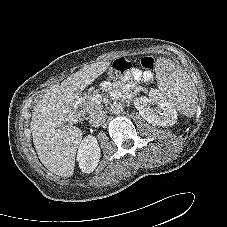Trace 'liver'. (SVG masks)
Segmentation results:
<instances>
[{
  "instance_id": "1",
  "label": "liver",
  "mask_w": 227,
  "mask_h": 227,
  "mask_svg": "<svg viewBox=\"0 0 227 227\" xmlns=\"http://www.w3.org/2000/svg\"><path fill=\"white\" fill-rule=\"evenodd\" d=\"M109 66V61L84 66L61 85H52L34 106L30 123L33 143L41 163L50 172L62 177L73 175L82 131L65 123L79 93Z\"/></svg>"
}]
</instances>
